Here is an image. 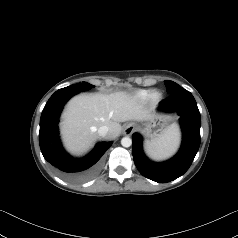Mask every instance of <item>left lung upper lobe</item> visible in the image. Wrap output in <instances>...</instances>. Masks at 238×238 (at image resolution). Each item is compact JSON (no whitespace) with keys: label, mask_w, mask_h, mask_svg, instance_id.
<instances>
[{"label":"left lung upper lobe","mask_w":238,"mask_h":238,"mask_svg":"<svg viewBox=\"0 0 238 238\" xmlns=\"http://www.w3.org/2000/svg\"><path fill=\"white\" fill-rule=\"evenodd\" d=\"M164 83H165L167 92L169 94L175 93V92H177L178 90H180L182 88L177 83H175L173 81H170V80H165Z\"/></svg>","instance_id":"1"}]
</instances>
